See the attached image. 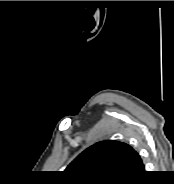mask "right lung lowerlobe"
<instances>
[{
  "label": "right lung lower lobe",
  "mask_w": 174,
  "mask_h": 184,
  "mask_svg": "<svg viewBox=\"0 0 174 184\" xmlns=\"http://www.w3.org/2000/svg\"><path fill=\"white\" fill-rule=\"evenodd\" d=\"M143 174H145V171H144L140 176H138L137 178L132 179V180H129V181H125V182H123V184H136V183H140V182H139V178H140Z\"/></svg>",
  "instance_id": "obj_1"
}]
</instances>
